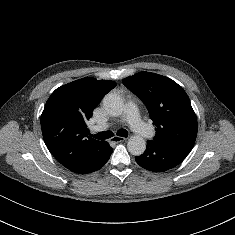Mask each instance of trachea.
Returning <instances> with one entry per match:
<instances>
[{"instance_id": "1", "label": "trachea", "mask_w": 235, "mask_h": 235, "mask_svg": "<svg viewBox=\"0 0 235 235\" xmlns=\"http://www.w3.org/2000/svg\"><path fill=\"white\" fill-rule=\"evenodd\" d=\"M117 135L121 137H127L128 132L125 129H120L117 131ZM92 136L98 140H105V139L111 138L113 136V133L111 131H103Z\"/></svg>"}]
</instances>
